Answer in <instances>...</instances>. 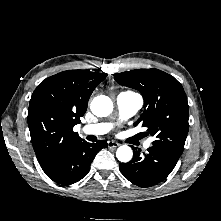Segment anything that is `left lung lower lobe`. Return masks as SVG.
<instances>
[{
	"mask_svg": "<svg viewBox=\"0 0 221 221\" xmlns=\"http://www.w3.org/2000/svg\"><path fill=\"white\" fill-rule=\"evenodd\" d=\"M134 155L130 162L120 163L121 173L133 184L151 187L162 182L174 169L180 156L159 147H150L140 156V150L133 147Z\"/></svg>",
	"mask_w": 221,
	"mask_h": 221,
	"instance_id": "0a47b994",
	"label": "left lung lower lobe"
}]
</instances>
